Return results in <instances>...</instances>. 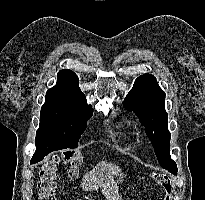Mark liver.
Masks as SVG:
<instances>
[{
	"mask_svg": "<svg viewBox=\"0 0 205 200\" xmlns=\"http://www.w3.org/2000/svg\"><path fill=\"white\" fill-rule=\"evenodd\" d=\"M115 177H118V179L114 180ZM122 182L120 167L114 163H107L102 160L89 173L83 176L81 188L90 192L102 188V194L107 200H120L118 184Z\"/></svg>",
	"mask_w": 205,
	"mask_h": 200,
	"instance_id": "6515ba94",
	"label": "liver"
}]
</instances>
